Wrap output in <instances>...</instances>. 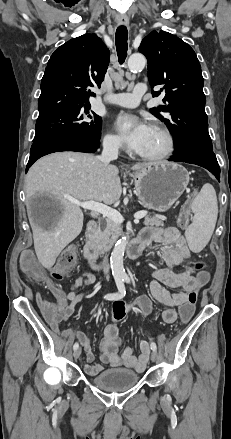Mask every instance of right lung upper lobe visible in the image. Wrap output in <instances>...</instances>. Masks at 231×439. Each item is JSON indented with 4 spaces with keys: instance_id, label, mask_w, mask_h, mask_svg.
I'll use <instances>...</instances> for the list:
<instances>
[{
    "instance_id": "right-lung-upper-lobe-1",
    "label": "right lung upper lobe",
    "mask_w": 231,
    "mask_h": 439,
    "mask_svg": "<svg viewBox=\"0 0 231 439\" xmlns=\"http://www.w3.org/2000/svg\"><path fill=\"white\" fill-rule=\"evenodd\" d=\"M109 50L96 34H85L60 46L50 57L41 81L39 117L90 105V88L100 87ZM38 117V118H39Z\"/></svg>"
}]
</instances>
